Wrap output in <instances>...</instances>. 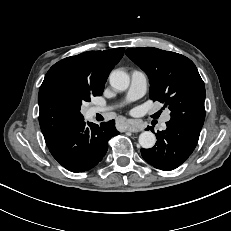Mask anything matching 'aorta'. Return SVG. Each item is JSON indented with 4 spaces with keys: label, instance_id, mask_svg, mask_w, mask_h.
Segmentation results:
<instances>
[{
    "label": "aorta",
    "instance_id": "762f6f07",
    "mask_svg": "<svg viewBox=\"0 0 231 231\" xmlns=\"http://www.w3.org/2000/svg\"><path fill=\"white\" fill-rule=\"evenodd\" d=\"M110 85L118 90L124 91L130 84L129 75L122 70H114L109 76ZM156 143V137L151 131H144L139 135V144L142 148H152Z\"/></svg>",
    "mask_w": 231,
    "mask_h": 231
}]
</instances>
